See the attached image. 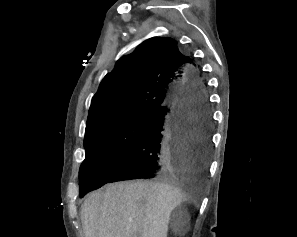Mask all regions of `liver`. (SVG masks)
<instances>
[{"instance_id": "1", "label": "liver", "mask_w": 297, "mask_h": 237, "mask_svg": "<svg viewBox=\"0 0 297 237\" xmlns=\"http://www.w3.org/2000/svg\"><path fill=\"white\" fill-rule=\"evenodd\" d=\"M190 199L175 176L109 184L81 206L85 237H167L172 211Z\"/></svg>"}]
</instances>
